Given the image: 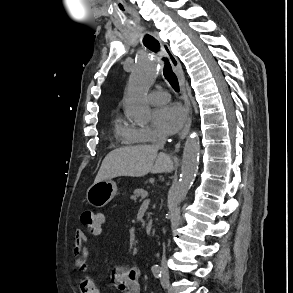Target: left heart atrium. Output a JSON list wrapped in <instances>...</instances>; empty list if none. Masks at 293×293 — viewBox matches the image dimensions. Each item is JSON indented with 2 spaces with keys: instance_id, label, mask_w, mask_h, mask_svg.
<instances>
[{
  "instance_id": "obj_1",
  "label": "left heart atrium",
  "mask_w": 293,
  "mask_h": 293,
  "mask_svg": "<svg viewBox=\"0 0 293 293\" xmlns=\"http://www.w3.org/2000/svg\"><path fill=\"white\" fill-rule=\"evenodd\" d=\"M186 113L179 104H167L157 108L153 113L155 127L165 135L177 132L185 121Z\"/></svg>"
}]
</instances>
